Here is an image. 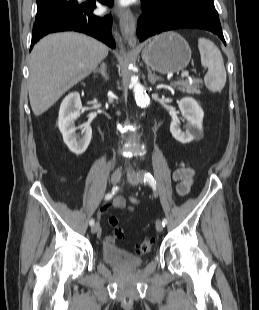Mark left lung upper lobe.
<instances>
[{
    "mask_svg": "<svg viewBox=\"0 0 259 310\" xmlns=\"http://www.w3.org/2000/svg\"><path fill=\"white\" fill-rule=\"evenodd\" d=\"M151 4L155 5L159 9L171 10L180 6L205 3L214 5L213 0H149Z\"/></svg>",
    "mask_w": 259,
    "mask_h": 310,
    "instance_id": "5c2ea615",
    "label": "left lung upper lobe"
}]
</instances>
